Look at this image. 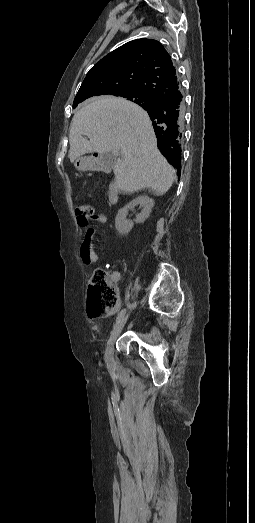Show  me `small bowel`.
Instances as JSON below:
<instances>
[{
  "label": "small bowel",
  "mask_w": 255,
  "mask_h": 523,
  "mask_svg": "<svg viewBox=\"0 0 255 523\" xmlns=\"http://www.w3.org/2000/svg\"><path fill=\"white\" fill-rule=\"evenodd\" d=\"M93 220L99 223H106L108 219L103 214H97L93 216ZM97 234V229L93 226H89L86 228L85 233L83 235L80 248V256L86 264H93L98 260V255L95 251ZM111 276L115 285L121 279V275L119 272H113Z\"/></svg>",
  "instance_id": "1"
}]
</instances>
